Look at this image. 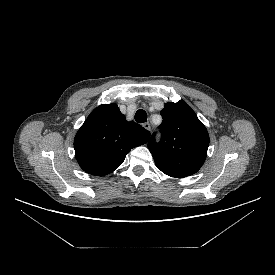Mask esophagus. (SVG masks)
<instances>
[{
	"label": "esophagus",
	"mask_w": 275,
	"mask_h": 275,
	"mask_svg": "<svg viewBox=\"0 0 275 275\" xmlns=\"http://www.w3.org/2000/svg\"><path fill=\"white\" fill-rule=\"evenodd\" d=\"M143 127H144L146 130H148V131H150V129H151V126H150L149 122H145V123L143 124Z\"/></svg>",
	"instance_id": "esophagus-1"
}]
</instances>
